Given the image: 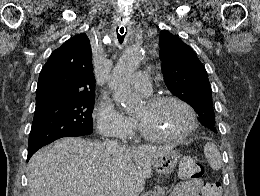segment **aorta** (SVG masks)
I'll use <instances>...</instances> for the list:
<instances>
[{"label":"aorta","instance_id":"obj_1","mask_svg":"<svg viewBox=\"0 0 260 196\" xmlns=\"http://www.w3.org/2000/svg\"><path fill=\"white\" fill-rule=\"evenodd\" d=\"M144 54V50L139 47L126 49L112 71V79L109 85L114 100L122 105L128 113L134 112L139 103V98L131 89L130 80L143 60Z\"/></svg>","mask_w":260,"mask_h":196}]
</instances>
